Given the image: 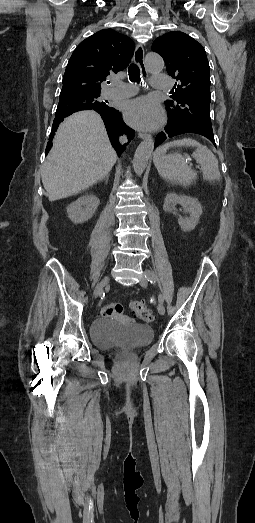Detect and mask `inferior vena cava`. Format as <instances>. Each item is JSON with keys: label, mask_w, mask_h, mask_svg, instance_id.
Returning a JSON list of instances; mask_svg holds the SVG:
<instances>
[{"label": "inferior vena cava", "mask_w": 255, "mask_h": 523, "mask_svg": "<svg viewBox=\"0 0 255 523\" xmlns=\"http://www.w3.org/2000/svg\"><path fill=\"white\" fill-rule=\"evenodd\" d=\"M121 142H126V138H121Z\"/></svg>", "instance_id": "602c4592"}]
</instances>
